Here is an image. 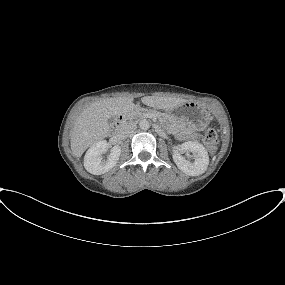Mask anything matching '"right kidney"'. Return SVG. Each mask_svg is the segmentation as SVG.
Segmentation results:
<instances>
[{"label":"right kidney","mask_w":285,"mask_h":285,"mask_svg":"<svg viewBox=\"0 0 285 285\" xmlns=\"http://www.w3.org/2000/svg\"><path fill=\"white\" fill-rule=\"evenodd\" d=\"M107 141H98L92 145L85 154L84 167L85 169L94 175H101L111 170L118 162L121 148L120 146H114L107 159H103L101 154L106 152Z\"/></svg>","instance_id":"ca27d5eb"}]
</instances>
